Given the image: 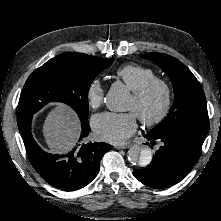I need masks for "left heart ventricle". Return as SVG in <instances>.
Wrapping results in <instances>:
<instances>
[{"mask_svg":"<svg viewBox=\"0 0 221 221\" xmlns=\"http://www.w3.org/2000/svg\"><path fill=\"white\" fill-rule=\"evenodd\" d=\"M162 105V93L154 90L143 102H137L131 96L125 106V110L133 111L136 116L153 117L160 110Z\"/></svg>","mask_w":221,"mask_h":221,"instance_id":"left-heart-ventricle-1","label":"left heart ventricle"}]
</instances>
